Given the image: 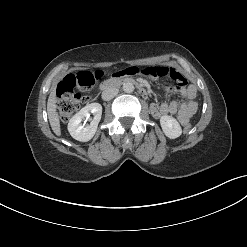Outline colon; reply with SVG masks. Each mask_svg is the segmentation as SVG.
<instances>
[{"mask_svg": "<svg viewBox=\"0 0 247 247\" xmlns=\"http://www.w3.org/2000/svg\"><path fill=\"white\" fill-rule=\"evenodd\" d=\"M103 75L101 71L95 73L79 72L68 74L57 87V109L60 119L66 122L77 109L87 102L95 82ZM192 126L184 125V132L188 133Z\"/></svg>", "mask_w": 247, "mask_h": 247, "instance_id": "colon-1", "label": "colon"}]
</instances>
